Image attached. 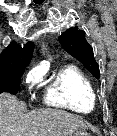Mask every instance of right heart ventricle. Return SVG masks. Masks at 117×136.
<instances>
[{
    "mask_svg": "<svg viewBox=\"0 0 117 136\" xmlns=\"http://www.w3.org/2000/svg\"><path fill=\"white\" fill-rule=\"evenodd\" d=\"M44 103L79 114L96 108V94L91 81L74 65L62 67L49 82Z\"/></svg>",
    "mask_w": 117,
    "mask_h": 136,
    "instance_id": "1",
    "label": "right heart ventricle"
}]
</instances>
